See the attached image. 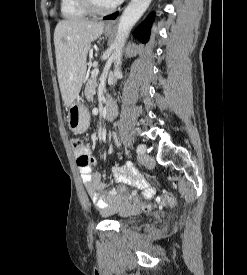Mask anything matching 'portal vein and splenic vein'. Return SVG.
<instances>
[{"mask_svg": "<svg viewBox=\"0 0 247 275\" xmlns=\"http://www.w3.org/2000/svg\"><path fill=\"white\" fill-rule=\"evenodd\" d=\"M98 73H99V70H98V69H94V70L92 71V75L95 76V77L98 75Z\"/></svg>", "mask_w": 247, "mask_h": 275, "instance_id": "portal-vein-and-splenic-vein-1", "label": "portal vein and splenic vein"}]
</instances>
